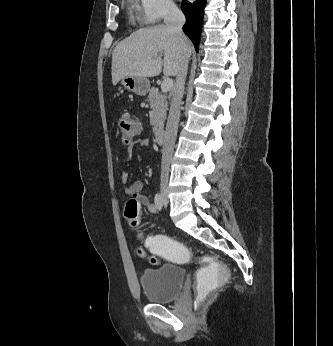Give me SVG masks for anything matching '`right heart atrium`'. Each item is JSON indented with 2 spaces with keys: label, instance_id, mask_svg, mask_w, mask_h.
Listing matches in <instances>:
<instances>
[{
  "label": "right heart atrium",
  "instance_id": "1",
  "mask_svg": "<svg viewBox=\"0 0 333 346\" xmlns=\"http://www.w3.org/2000/svg\"><path fill=\"white\" fill-rule=\"evenodd\" d=\"M144 21L149 24L156 23L178 10L174 0H139Z\"/></svg>",
  "mask_w": 333,
  "mask_h": 346
}]
</instances>
